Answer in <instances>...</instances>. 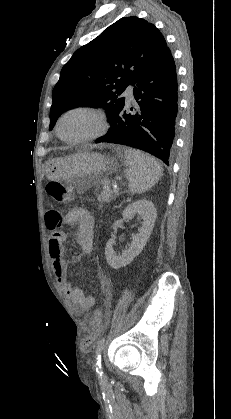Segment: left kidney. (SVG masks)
I'll return each instance as SVG.
<instances>
[{
    "label": "left kidney",
    "mask_w": 231,
    "mask_h": 419,
    "mask_svg": "<svg viewBox=\"0 0 231 419\" xmlns=\"http://www.w3.org/2000/svg\"><path fill=\"white\" fill-rule=\"evenodd\" d=\"M136 214L142 218L143 222L138 233L132 235V242L129 247L122 251L121 255H116L113 250L115 240L109 239L106 244V260L113 269L128 265L134 257L141 253L151 235L157 216L153 203L148 200L136 201L125 208L122 216L124 219L130 220Z\"/></svg>",
    "instance_id": "1"
}]
</instances>
